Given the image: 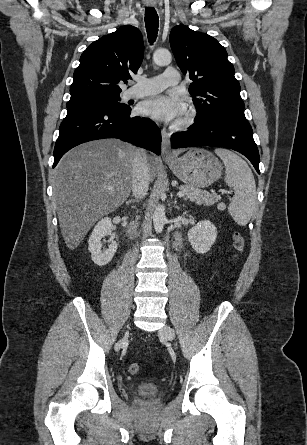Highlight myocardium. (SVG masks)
Segmentation results:
<instances>
[{
    "instance_id": "1",
    "label": "myocardium",
    "mask_w": 307,
    "mask_h": 445,
    "mask_svg": "<svg viewBox=\"0 0 307 445\" xmlns=\"http://www.w3.org/2000/svg\"><path fill=\"white\" fill-rule=\"evenodd\" d=\"M198 116L196 108L191 107L185 114L184 118L176 125L177 129H184L190 126Z\"/></svg>"
}]
</instances>
